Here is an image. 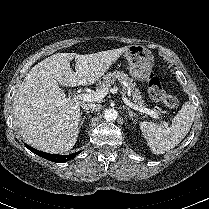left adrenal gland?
<instances>
[{
    "instance_id": "left-adrenal-gland-1",
    "label": "left adrenal gland",
    "mask_w": 209,
    "mask_h": 209,
    "mask_svg": "<svg viewBox=\"0 0 209 209\" xmlns=\"http://www.w3.org/2000/svg\"><path fill=\"white\" fill-rule=\"evenodd\" d=\"M123 109H126L130 115V117H133L135 116V113L127 106H123Z\"/></svg>"
}]
</instances>
